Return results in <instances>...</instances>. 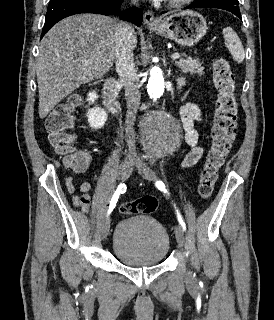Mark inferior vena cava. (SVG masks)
<instances>
[{
  "instance_id": "inferior-vena-cava-1",
  "label": "inferior vena cava",
  "mask_w": 274,
  "mask_h": 320,
  "mask_svg": "<svg viewBox=\"0 0 274 320\" xmlns=\"http://www.w3.org/2000/svg\"><path fill=\"white\" fill-rule=\"evenodd\" d=\"M133 2L135 4L138 0ZM114 40L116 72L125 90L126 124L130 130L129 126H133L141 102L139 76L133 58L134 44L137 40L134 28L125 22H119L114 28ZM129 146H133L132 142H129Z\"/></svg>"
}]
</instances>
